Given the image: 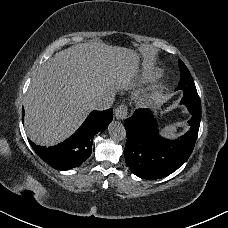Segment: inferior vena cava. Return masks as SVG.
Segmentation results:
<instances>
[{
	"label": "inferior vena cava",
	"mask_w": 228,
	"mask_h": 228,
	"mask_svg": "<svg viewBox=\"0 0 228 228\" xmlns=\"http://www.w3.org/2000/svg\"><path fill=\"white\" fill-rule=\"evenodd\" d=\"M89 98L92 102V109L103 112L109 110L114 105V93L107 92L105 94H89Z\"/></svg>",
	"instance_id": "inferior-vena-cava-1"
}]
</instances>
